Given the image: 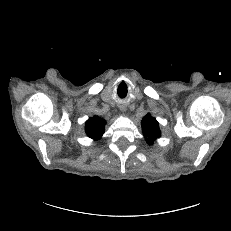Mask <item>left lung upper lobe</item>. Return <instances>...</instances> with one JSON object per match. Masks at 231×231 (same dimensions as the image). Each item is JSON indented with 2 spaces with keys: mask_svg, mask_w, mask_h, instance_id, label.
Here are the masks:
<instances>
[{
  "mask_svg": "<svg viewBox=\"0 0 231 231\" xmlns=\"http://www.w3.org/2000/svg\"><path fill=\"white\" fill-rule=\"evenodd\" d=\"M141 124L143 135L147 143L153 144V142L161 135L157 120L150 114H147L143 117Z\"/></svg>",
  "mask_w": 231,
  "mask_h": 231,
  "instance_id": "5c2ea615",
  "label": "left lung upper lobe"
}]
</instances>
